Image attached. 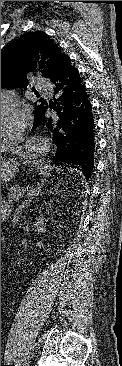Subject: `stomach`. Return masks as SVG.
<instances>
[{
  "label": "stomach",
  "mask_w": 122,
  "mask_h": 366,
  "mask_svg": "<svg viewBox=\"0 0 122 366\" xmlns=\"http://www.w3.org/2000/svg\"><path fill=\"white\" fill-rule=\"evenodd\" d=\"M17 161L14 158L1 159V182H5L12 176Z\"/></svg>",
  "instance_id": "obj_1"
}]
</instances>
